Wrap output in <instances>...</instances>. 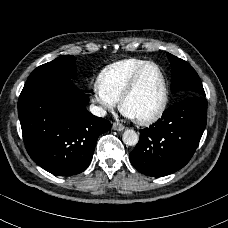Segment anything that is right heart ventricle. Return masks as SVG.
<instances>
[{
    "label": "right heart ventricle",
    "mask_w": 228,
    "mask_h": 228,
    "mask_svg": "<svg viewBox=\"0 0 228 228\" xmlns=\"http://www.w3.org/2000/svg\"><path fill=\"white\" fill-rule=\"evenodd\" d=\"M149 60L129 58L113 62L104 67L97 77V87L105 96L115 102L120 101L135 73Z\"/></svg>",
    "instance_id": "1"
}]
</instances>
